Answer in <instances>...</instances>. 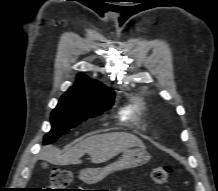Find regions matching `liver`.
<instances>
[{"label":"liver","instance_id":"1","mask_svg":"<svg viewBox=\"0 0 218 191\" xmlns=\"http://www.w3.org/2000/svg\"><path fill=\"white\" fill-rule=\"evenodd\" d=\"M131 147L145 149L144 143L135 135L125 132H110L85 138L61 154L55 147L48 146L40 157L54 165L80 164V158L89 154L92 163H104Z\"/></svg>","mask_w":218,"mask_h":191}]
</instances>
